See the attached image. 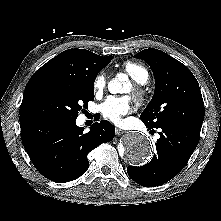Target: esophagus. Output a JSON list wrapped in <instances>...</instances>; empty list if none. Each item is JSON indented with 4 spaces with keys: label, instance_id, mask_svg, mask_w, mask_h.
<instances>
[{
    "label": "esophagus",
    "instance_id": "1",
    "mask_svg": "<svg viewBox=\"0 0 221 221\" xmlns=\"http://www.w3.org/2000/svg\"><path fill=\"white\" fill-rule=\"evenodd\" d=\"M115 133H116L117 136H120V135L124 134L125 131H124V130H121V129H119V128H116Z\"/></svg>",
    "mask_w": 221,
    "mask_h": 221
}]
</instances>
